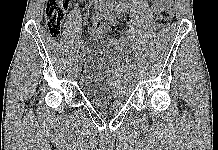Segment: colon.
I'll return each instance as SVG.
<instances>
[{"label":"colon","instance_id":"obj_1","mask_svg":"<svg viewBox=\"0 0 218 150\" xmlns=\"http://www.w3.org/2000/svg\"><path fill=\"white\" fill-rule=\"evenodd\" d=\"M70 5V0H47L45 7L46 22L51 35L59 36L65 13ZM171 21V11L167 7H162L156 15V25L163 29ZM95 30L100 33H107L110 27L105 23H97Z\"/></svg>","mask_w":218,"mask_h":150}]
</instances>
